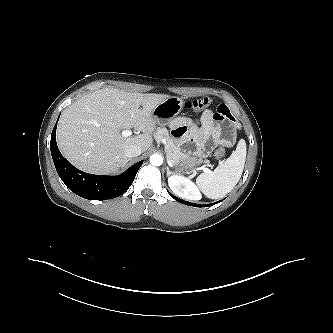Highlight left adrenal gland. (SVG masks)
I'll list each match as a JSON object with an SVG mask.
<instances>
[{"mask_svg":"<svg viewBox=\"0 0 333 333\" xmlns=\"http://www.w3.org/2000/svg\"><path fill=\"white\" fill-rule=\"evenodd\" d=\"M166 170H167V173H166V174H167V176H170V174H171V171H170V169H169V167H168V166L166 167Z\"/></svg>","mask_w":333,"mask_h":333,"instance_id":"a2214340","label":"left adrenal gland"}]
</instances>
